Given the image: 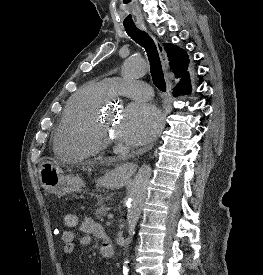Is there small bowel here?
<instances>
[{
  "label": "small bowel",
  "instance_id": "1",
  "mask_svg": "<svg viewBox=\"0 0 263 275\" xmlns=\"http://www.w3.org/2000/svg\"><path fill=\"white\" fill-rule=\"evenodd\" d=\"M92 236L103 241L101 253L105 249V238L107 236L103 226L95 222L92 218L86 217L79 225L78 231L63 230L61 232V240L63 242V250L61 259L66 260L73 254L77 246L85 247L91 243Z\"/></svg>",
  "mask_w": 263,
  "mask_h": 275
}]
</instances>
